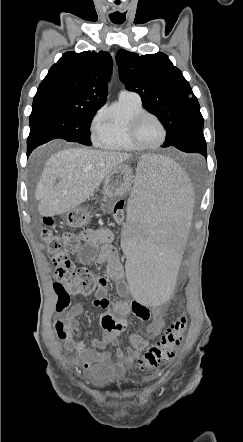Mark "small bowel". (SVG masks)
I'll return each mask as SVG.
<instances>
[{
	"label": "small bowel",
	"mask_w": 243,
	"mask_h": 442,
	"mask_svg": "<svg viewBox=\"0 0 243 442\" xmlns=\"http://www.w3.org/2000/svg\"><path fill=\"white\" fill-rule=\"evenodd\" d=\"M122 204L124 205L123 202ZM79 236L86 244V248L78 256L79 263L104 264L106 275L116 282L117 292L120 295L128 294L129 286L124 277L123 264L112 244L114 240L112 230L85 229ZM96 285L98 288L92 305L102 310L99 318L102 332L90 338L86 345L75 343L74 339L78 338L80 333L74 321L84 313L83 304H75L70 308H57L59 317L55 321V330L58 338L65 343L70 364L83 369L88 379L104 383L124 374L148 343L161 333L164 320L160 308H154L150 313L148 307H139L138 302H132L130 305L124 300L111 301L107 296L108 284L105 277H98ZM131 311L137 318L150 322L146 335L132 334L130 346L123 349L118 337L127 328L125 318ZM108 345L113 347V351L97 352V349Z\"/></svg>",
	"instance_id": "obj_1"
}]
</instances>
